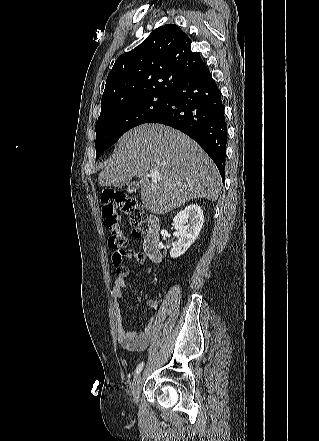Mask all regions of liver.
Returning a JSON list of instances; mask_svg holds the SVG:
<instances>
[{"label":"liver","instance_id":"liver-1","mask_svg":"<svg viewBox=\"0 0 319 441\" xmlns=\"http://www.w3.org/2000/svg\"><path fill=\"white\" fill-rule=\"evenodd\" d=\"M160 177L149 180V171ZM140 180L141 200L163 214L195 198L217 200L222 185L210 157L190 137L162 124L146 123L125 133L98 176L100 186L122 187Z\"/></svg>","mask_w":319,"mask_h":441}]
</instances>
